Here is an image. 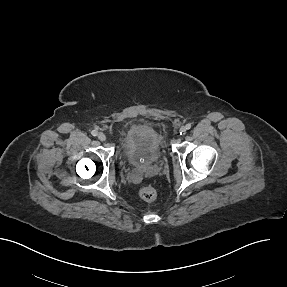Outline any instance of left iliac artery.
Listing matches in <instances>:
<instances>
[{
    "label": "left iliac artery",
    "instance_id": "1",
    "mask_svg": "<svg viewBox=\"0 0 287 287\" xmlns=\"http://www.w3.org/2000/svg\"><path fill=\"white\" fill-rule=\"evenodd\" d=\"M185 128L186 130H189L191 128V124H186Z\"/></svg>",
    "mask_w": 287,
    "mask_h": 287
}]
</instances>
